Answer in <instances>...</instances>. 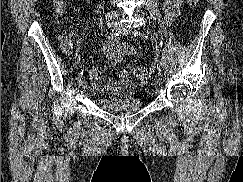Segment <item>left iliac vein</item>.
I'll return each instance as SVG.
<instances>
[{
    "label": "left iliac vein",
    "mask_w": 243,
    "mask_h": 182,
    "mask_svg": "<svg viewBox=\"0 0 243 182\" xmlns=\"http://www.w3.org/2000/svg\"><path fill=\"white\" fill-rule=\"evenodd\" d=\"M117 31H119L123 36H127L131 34V29L128 27H117ZM162 79V73L161 71L157 72L156 74V83H159Z\"/></svg>",
    "instance_id": "left-iliac-vein-1"
}]
</instances>
